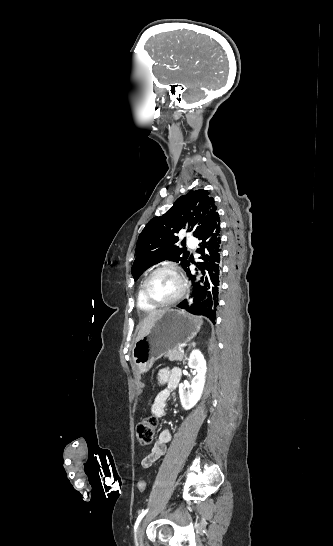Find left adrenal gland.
<instances>
[{
  "label": "left adrenal gland",
  "instance_id": "1",
  "mask_svg": "<svg viewBox=\"0 0 333 546\" xmlns=\"http://www.w3.org/2000/svg\"><path fill=\"white\" fill-rule=\"evenodd\" d=\"M191 347H195V342H193L192 345L189 346V349H190ZM189 349H188V350H189ZM186 360H187V353H185L184 360H183V364H185Z\"/></svg>",
  "mask_w": 333,
  "mask_h": 546
}]
</instances>
